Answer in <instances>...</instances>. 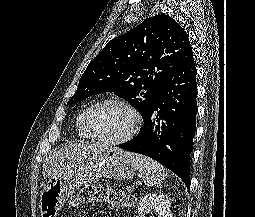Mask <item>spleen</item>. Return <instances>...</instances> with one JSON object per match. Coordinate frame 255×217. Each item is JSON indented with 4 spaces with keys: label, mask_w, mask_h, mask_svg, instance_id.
<instances>
[{
    "label": "spleen",
    "mask_w": 255,
    "mask_h": 217,
    "mask_svg": "<svg viewBox=\"0 0 255 217\" xmlns=\"http://www.w3.org/2000/svg\"><path fill=\"white\" fill-rule=\"evenodd\" d=\"M135 167L143 174L144 183L147 186H153L165 180L168 171L155 160L146 156L128 153Z\"/></svg>",
    "instance_id": "3e777b00"
}]
</instances>
